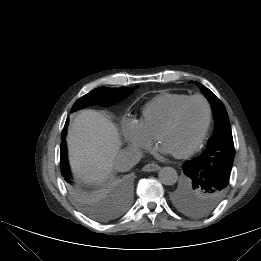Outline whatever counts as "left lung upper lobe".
<instances>
[{"mask_svg": "<svg viewBox=\"0 0 261 261\" xmlns=\"http://www.w3.org/2000/svg\"><path fill=\"white\" fill-rule=\"evenodd\" d=\"M195 84L211 104L215 120L213 138L207 150L194 161L202 172L192 179L185 177L172 199L182 212L192 216L211 213L224 198L234 160V143L227 111L222 102L199 82Z\"/></svg>", "mask_w": 261, "mask_h": 261, "instance_id": "1", "label": "left lung upper lobe"}]
</instances>
